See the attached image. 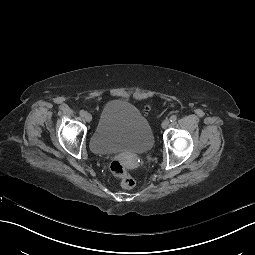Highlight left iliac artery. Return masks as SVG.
Masks as SVG:
<instances>
[{"mask_svg":"<svg viewBox=\"0 0 255 255\" xmlns=\"http://www.w3.org/2000/svg\"><path fill=\"white\" fill-rule=\"evenodd\" d=\"M177 120V116L176 115H172L171 117H170V121L171 122H175Z\"/></svg>","mask_w":255,"mask_h":255,"instance_id":"1","label":"left iliac artery"}]
</instances>
